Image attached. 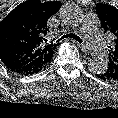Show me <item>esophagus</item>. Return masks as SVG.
<instances>
[{
  "instance_id": "34e87169",
  "label": "esophagus",
  "mask_w": 118,
  "mask_h": 118,
  "mask_svg": "<svg viewBox=\"0 0 118 118\" xmlns=\"http://www.w3.org/2000/svg\"><path fill=\"white\" fill-rule=\"evenodd\" d=\"M79 46L85 54H88V55L92 54V51L87 46L81 45V44H79Z\"/></svg>"
}]
</instances>
